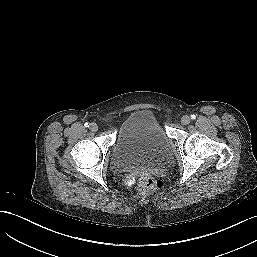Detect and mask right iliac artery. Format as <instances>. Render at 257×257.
<instances>
[{"label": "right iliac artery", "mask_w": 257, "mask_h": 257, "mask_svg": "<svg viewBox=\"0 0 257 257\" xmlns=\"http://www.w3.org/2000/svg\"><path fill=\"white\" fill-rule=\"evenodd\" d=\"M84 126H85V127H89L90 125L86 122V123L84 124Z\"/></svg>", "instance_id": "obj_1"}]
</instances>
